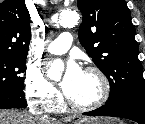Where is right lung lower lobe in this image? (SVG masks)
Segmentation results:
<instances>
[{
	"instance_id": "right-lung-lower-lobe-1",
	"label": "right lung lower lobe",
	"mask_w": 145,
	"mask_h": 124,
	"mask_svg": "<svg viewBox=\"0 0 145 124\" xmlns=\"http://www.w3.org/2000/svg\"><path fill=\"white\" fill-rule=\"evenodd\" d=\"M25 107H27V103L23 90L0 89V109Z\"/></svg>"
}]
</instances>
